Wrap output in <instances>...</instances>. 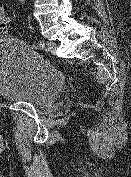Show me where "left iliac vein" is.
Returning a JSON list of instances; mask_svg holds the SVG:
<instances>
[{"instance_id": "left-iliac-vein-1", "label": "left iliac vein", "mask_w": 131, "mask_h": 177, "mask_svg": "<svg viewBox=\"0 0 131 177\" xmlns=\"http://www.w3.org/2000/svg\"><path fill=\"white\" fill-rule=\"evenodd\" d=\"M56 49H57V44L55 42H52V41L46 42L45 50L47 52L54 53L56 51Z\"/></svg>"}]
</instances>
